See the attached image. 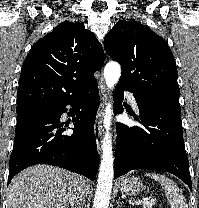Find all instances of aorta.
<instances>
[{
	"label": "aorta",
	"mask_w": 199,
	"mask_h": 208,
	"mask_svg": "<svg viewBox=\"0 0 199 208\" xmlns=\"http://www.w3.org/2000/svg\"><path fill=\"white\" fill-rule=\"evenodd\" d=\"M121 76L119 63L111 61L104 68V79L109 89H112ZM113 114L112 104L108 103L105 109L104 127L105 135L102 143V160L99 168L98 181L93 201V208H108L113 184L114 159L110 135L111 119Z\"/></svg>",
	"instance_id": "obj_1"
}]
</instances>
